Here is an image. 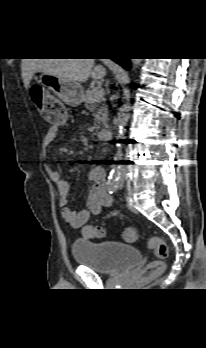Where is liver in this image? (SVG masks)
Listing matches in <instances>:
<instances>
[{"mask_svg": "<svg viewBox=\"0 0 206 348\" xmlns=\"http://www.w3.org/2000/svg\"><path fill=\"white\" fill-rule=\"evenodd\" d=\"M21 72L26 89L37 72L50 73L75 83H84L89 77L99 80L106 76V69L102 65L94 66V59H23Z\"/></svg>", "mask_w": 206, "mask_h": 348, "instance_id": "obj_1", "label": "liver"}]
</instances>
